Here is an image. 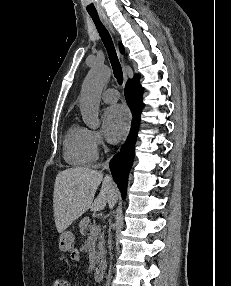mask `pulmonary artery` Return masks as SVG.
I'll use <instances>...</instances> for the list:
<instances>
[{"instance_id":"pulmonary-artery-1","label":"pulmonary artery","mask_w":231,"mask_h":286,"mask_svg":"<svg viewBox=\"0 0 231 286\" xmlns=\"http://www.w3.org/2000/svg\"><path fill=\"white\" fill-rule=\"evenodd\" d=\"M119 99V92L115 88H108L102 94V100L106 103H115Z\"/></svg>"}]
</instances>
